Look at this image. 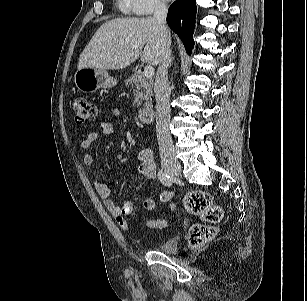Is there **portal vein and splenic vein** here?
<instances>
[{
  "instance_id": "obj_1",
  "label": "portal vein and splenic vein",
  "mask_w": 307,
  "mask_h": 301,
  "mask_svg": "<svg viewBox=\"0 0 307 301\" xmlns=\"http://www.w3.org/2000/svg\"><path fill=\"white\" fill-rule=\"evenodd\" d=\"M143 74L146 77H152L154 75V68H153V66H151V65L145 66Z\"/></svg>"
}]
</instances>
